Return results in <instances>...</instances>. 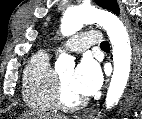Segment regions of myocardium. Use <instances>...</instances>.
Returning a JSON list of instances; mask_svg holds the SVG:
<instances>
[{"mask_svg": "<svg viewBox=\"0 0 142 119\" xmlns=\"http://www.w3.org/2000/svg\"><path fill=\"white\" fill-rule=\"evenodd\" d=\"M55 104L58 109L64 111H74L83 107L86 103L85 99H78L73 102H68L65 98L64 87L59 76L56 75L54 88Z\"/></svg>", "mask_w": 142, "mask_h": 119, "instance_id": "obj_1", "label": "myocardium"}]
</instances>
